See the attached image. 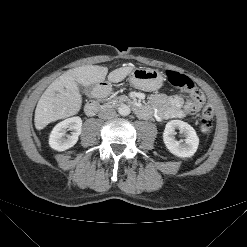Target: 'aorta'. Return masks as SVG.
<instances>
[{"instance_id":"obj_1","label":"aorta","mask_w":247,"mask_h":247,"mask_svg":"<svg viewBox=\"0 0 247 247\" xmlns=\"http://www.w3.org/2000/svg\"><path fill=\"white\" fill-rule=\"evenodd\" d=\"M131 112V109L128 105L126 104H123L121 105L119 108H118V113L121 115V116H128Z\"/></svg>"}]
</instances>
